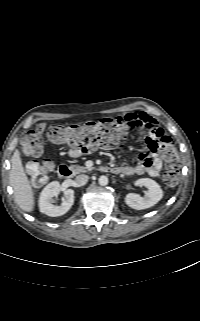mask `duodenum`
Segmentation results:
<instances>
[{"label":"duodenum","mask_w":200,"mask_h":321,"mask_svg":"<svg viewBox=\"0 0 200 321\" xmlns=\"http://www.w3.org/2000/svg\"><path fill=\"white\" fill-rule=\"evenodd\" d=\"M103 170L105 172L119 173L118 168L117 167H113V166H105V167H103ZM58 175L62 179H69V178L72 177L73 172H72L71 168L68 167L67 165H61L58 168Z\"/></svg>","instance_id":"410a0bca"}]
</instances>
